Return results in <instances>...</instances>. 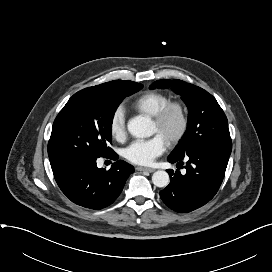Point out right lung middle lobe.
<instances>
[{
  "mask_svg": "<svg viewBox=\"0 0 272 272\" xmlns=\"http://www.w3.org/2000/svg\"><path fill=\"white\" fill-rule=\"evenodd\" d=\"M142 87V84L127 81L122 90L113 96L74 94L53 123L48 142L50 163L65 158L107 157L113 154L107 144L112 141L114 113L126 96Z\"/></svg>",
  "mask_w": 272,
  "mask_h": 272,
  "instance_id": "dd1d6c3e",
  "label": "right lung middle lobe"
}]
</instances>
